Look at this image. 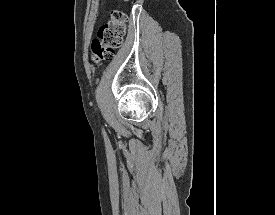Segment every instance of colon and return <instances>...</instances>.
Segmentation results:
<instances>
[{"label":"colon","instance_id":"colon-1","mask_svg":"<svg viewBox=\"0 0 275 215\" xmlns=\"http://www.w3.org/2000/svg\"><path fill=\"white\" fill-rule=\"evenodd\" d=\"M125 22L126 15L118 9L112 13L111 19L100 27L98 37L91 43V59L95 63L113 59L116 50L123 42Z\"/></svg>","mask_w":275,"mask_h":215}]
</instances>
